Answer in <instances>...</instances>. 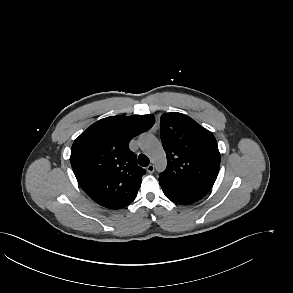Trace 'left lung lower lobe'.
<instances>
[{
    "label": "left lung lower lobe",
    "instance_id": "1",
    "mask_svg": "<svg viewBox=\"0 0 293 293\" xmlns=\"http://www.w3.org/2000/svg\"><path fill=\"white\" fill-rule=\"evenodd\" d=\"M164 194L173 202L177 203V204H181V205H188V204H192L198 200H200L201 198L195 197V196H191V195H187V194H180V193H173L170 192L164 188H162Z\"/></svg>",
    "mask_w": 293,
    "mask_h": 293
}]
</instances>
